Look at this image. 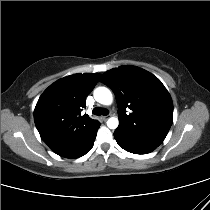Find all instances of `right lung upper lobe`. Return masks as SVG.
Wrapping results in <instances>:
<instances>
[{"mask_svg": "<svg viewBox=\"0 0 210 210\" xmlns=\"http://www.w3.org/2000/svg\"><path fill=\"white\" fill-rule=\"evenodd\" d=\"M98 73L74 74L50 85L40 96L34 121L42 140L63 156L89 140L100 123L87 114L85 99L99 79Z\"/></svg>", "mask_w": 210, "mask_h": 210, "instance_id": "right-lung-upper-lobe-1", "label": "right lung upper lobe"}]
</instances>
